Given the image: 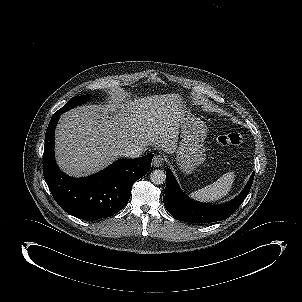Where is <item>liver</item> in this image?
Wrapping results in <instances>:
<instances>
[{"label":"liver","mask_w":302,"mask_h":302,"mask_svg":"<svg viewBox=\"0 0 302 302\" xmlns=\"http://www.w3.org/2000/svg\"><path fill=\"white\" fill-rule=\"evenodd\" d=\"M182 109L179 94L76 107L62 114L56 127L57 164L68 175L82 177L110 165L127 147L154 146L172 154Z\"/></svg>","instance_id":"6515ba94"}]
</instances>
